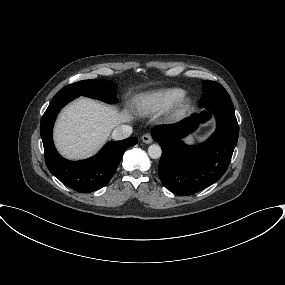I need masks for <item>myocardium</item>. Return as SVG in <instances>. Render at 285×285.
<instances>
[{
	"mask_svg": "<svg viewBox=\"0 0 285 285\" xmlns=\"http://www.w3.org/2000/svg\"><path fill=\"white\" fill-rule=\"evenodd\" d=\"M190 99L185 95L178 99L170 109V113L173 117L178 118L186 113L190 107Z\"/></svg>",
	"mask_w": 285,
	"mask_h": 285,
	"instance_id": "myocardium-1",
	"label": "myocardium"
}]
</instances>
